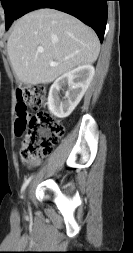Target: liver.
<instances>
[{"mask_svg": "<svg viewBox=\"0 0 133 253\" xmlns=\"http://www.w3.org/2000/svg\"><path fill=\"white\" fill-rule=\"evenodd\" d=\"M38 47L44 52L39 53ZM7 51L18 80L37 85L50 83L76 66L94 63L100 42L96 33L75 17L45 8L14 23Z\"/></svg>", "mask_w": 133, "mask_h": 253, "instance_id": "liver-1", "label": "liver"}]
</instances>
